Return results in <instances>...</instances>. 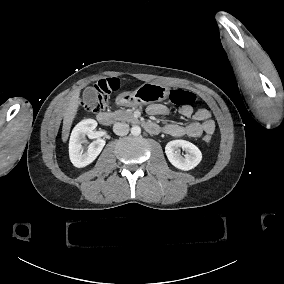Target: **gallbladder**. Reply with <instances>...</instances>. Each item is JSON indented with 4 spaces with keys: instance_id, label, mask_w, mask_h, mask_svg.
Here are the masks:
<instances>
[{
    "instance_id": "1",
    "label": "gallbladder",
    "mask_w": 284,
    "mask_h": 284,
    "mask_svg": "<svg viewBox=\"0 0 284 284\" xmlns=\"http://www.w3.org/2000/svg\"><path fill=\"white\" fill-rule=\"evenodd\" d=\"M83 100L87 103L90 107H95L98 100V92L94 88L87 87L83 92Z\"/></svg>"
}]
</instances>
